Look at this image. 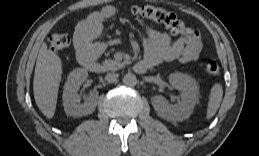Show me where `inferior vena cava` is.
I'll use <instances>...</instances> for the list:
<instances>
[{
	"instance_id": "1",
	"label": "inferior vena cava",
	"mask_w": 259,
	"mask_h": 156,
	"mask_svg": "<svg viewBox=\"0 0 259 156\" xmlns=\"http://www.w3.org/2000/svg\"><path fill=\"white\" fill-rule=\"evenodd\" d=\"M118 76H119V75L116 74V73L107 74V75L105 76V79H106L108 82H115V81L117 80Z\"/></svg>"
}]
</instances>
